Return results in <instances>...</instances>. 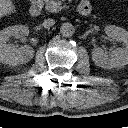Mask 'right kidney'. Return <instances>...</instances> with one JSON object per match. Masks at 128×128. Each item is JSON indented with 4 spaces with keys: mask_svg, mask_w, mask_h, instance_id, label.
I'll use <instances>...</instances> for the list:
<instances>
[{
    "mask_svg": "<svg viewBox=\"0 0 128 128\" xmlns=\"http://www.w3.org/2000/svg\"><path fill=\"white\" fill-rule=\"evenodd\" d=\"M29 34L25 25L10 26L0 31V62L12 66L28 63L34 57V50L30 46L17 48L8 43L11 37L21 38Z\"/></svg>",
    "mask_w": 128,
    "mask_h": 128,
    "instance_id": "1",
    "label": "right kidney"
}]
</instances>
